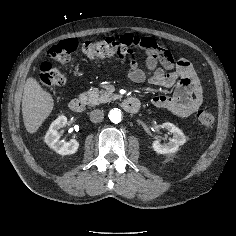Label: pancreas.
Instances as JSON below:
<instances>
[{
  "label": "pancreas",
  "instance_id": "pancreas-1",
  "mask_svg": "<svg viewBox=\"0 0 236 236\" xmlns=\"http://www.w3.org/2000/svg\"><path fill=\"white\" fill-rule=\"evenodd\" d=\"M79 98L86 102V104L94 106L100 103L110 102L111 100H114L116 96L105 90L99 91L98 88H93L82 93Z\"/></svg>",
  "mask_w": 236,
  "mask_h": 236
}]
</instances>
